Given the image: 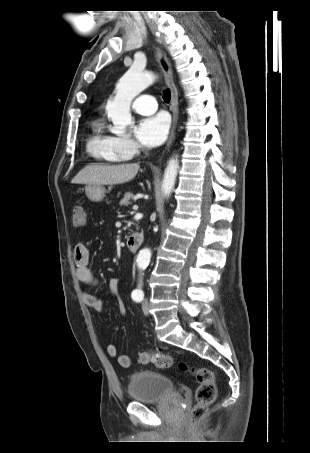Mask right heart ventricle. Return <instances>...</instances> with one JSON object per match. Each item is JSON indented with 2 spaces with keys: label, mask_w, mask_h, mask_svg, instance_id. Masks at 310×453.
<instances>
[{
  "label": "right heart ventricle",
  "mask_w": 310,
  "mask_h": 453,
  "mask_svg": "<svg viewBox=\"0 0 310 453\" xmlns=\"http://www.w3.org/2000/svg\"><path fill=\"white\" fill-rule=\"evenodd\" d=\"M86 149L94 159L101 162L119 163L128 158L118 150L114 137L106 132L100 119L91 122Z\"/></svg>",
  "instance_id": "1"
}]
</instances>
